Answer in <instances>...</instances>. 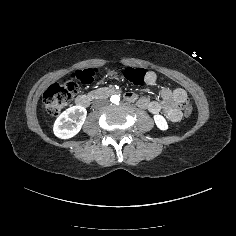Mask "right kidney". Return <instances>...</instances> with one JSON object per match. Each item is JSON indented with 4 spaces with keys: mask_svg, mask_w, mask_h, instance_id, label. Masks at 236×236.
Returning a JSON list of instances; mask_svg holds the SVG:
<instances>
[{
    "mask_svg": "<svg viewBox=\"0 0 236 236\" xmlns=\"http://www.w3.org/2000/svg\"><path fill=\"white\" fill-rule=\"evenodd\" d=\"M86 115L87 111L82 106H73L66 109L54 123V134L61 139L75 136L84 124Z\"/></svg>",
    "mask_w": 236,
    "mask_h": 236,
    "instance_id": "obj_1",
    "label": "right kidney"
}]
</instances>
